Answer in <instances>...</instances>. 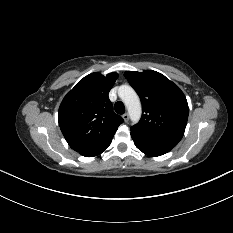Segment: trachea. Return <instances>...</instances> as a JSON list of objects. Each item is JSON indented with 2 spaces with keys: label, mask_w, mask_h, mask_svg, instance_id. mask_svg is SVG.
<instances>
[{
  "label": "trachea",
  "mask_w": 233,
  "mask_h": 233,
  "mask_svg": "<svg viewBox=\"0 0 233 233\" xmlns=\"http://www.w3.org/2000/svg\"><path fill=\"white\" fill-rule=\"evenodd\" d=\"M114 109L118 114H124L125 113V107L124 104L121 101H118L114 105Z\"/></svg>",
  "instance_id": "3493384b"
}]
</instances>
